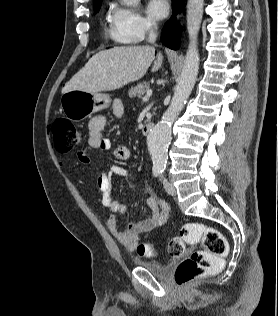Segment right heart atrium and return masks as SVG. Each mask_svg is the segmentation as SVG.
I'll use <instances>...</instances> for the list:
<instances>
[{"label":"right heart atrium","instance_id":"1","mask_svg":"<svg viewBox=\"0 0 278 316\" xmlns=\"http://www.w3.org/2000/svg\"><path fill=\"white\" fill-rule=\"evenodd\" d=\"M110 17L114 37L121 43H138L156 28L151 19L118 3L112 5Z\"/></svg>","mask_w":278,"mask_h":316}]
</instances>
